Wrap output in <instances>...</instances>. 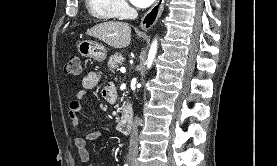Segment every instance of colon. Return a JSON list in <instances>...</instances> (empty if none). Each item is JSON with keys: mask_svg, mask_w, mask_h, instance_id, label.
Listing matches in <instances>:
<instances>
[{"mask_svg": "<svg viewBox=\"0 0 277 166\" xmlns=\"http://www.w3.org/2000/svg\"><path fill=\"white\" fill-rule=\"evenodd\" d=\"M65 71L75 76L80 75L82 73V63L80 57L77 55L71 56L65 65Z\"/></svg>", "mask_w": 277, "mask_h": 166, "instance_id": "1", "label": "colon"}]
</instances>
